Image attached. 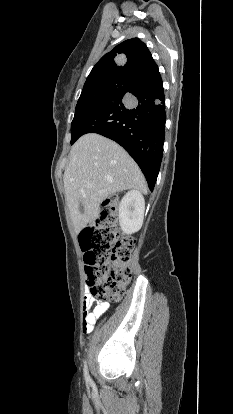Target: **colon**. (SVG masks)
I'll list each match as a JSON object with an SVG mask.
<instances>
[{
	"mask_svg": "<svg viewBox=\"0 0 233 414\" xmlns=\"http://www.w3.org/2000/svg\"><path fill=\"white\" fill-rule=\"evenodd\" d=\"M118 211L117 200L108 199L96 224L80 234L86 283L93 298L120 300L132 278L130 261L135 239L118 229Z\"/></svg>",
	"mask_w": 233,
	"mask_h": 414,
	"instance_id": "colon-1",
	"label": "colon"
}]
</instances>
